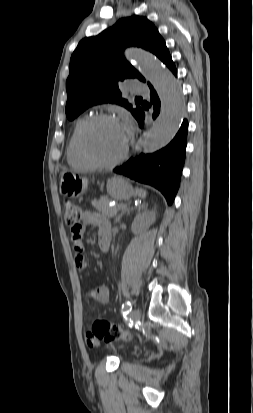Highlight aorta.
<instances>
[{
  "label": "aorta",
  "instance_id": "obj_1",
  "mask_svg": "<svg viewBox=\"0 0 253 413\" xmlns=\"http://www.w3.org/2000/svg\"><path fill=\"white\" fill-rule=\"evenodd\" d=\"M126 55L151 82L161 101L160 114L140 143L144 153H153L169 144L176 135L185 114V101L173 75L153 54L129 49Z\"/></svg>",
  "mask_w": 253,
  "mask_h": 413
}]
</instances>
